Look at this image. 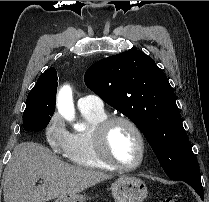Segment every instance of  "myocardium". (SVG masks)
Here are the masks:
<instances>
[{
    "label": "myocardium",
    "mask_w": 209,
    "mask_h": 202,
    "mask_svg": "<svg viewBox=\"0 0 209 202\" xmlns=\"http://www.w3.org/2000/svg\"><path fill=\"white\" fill-rule=\"evenodd\" d=\"M117 123H124L130 126L136 133L140 142V156L139 160L134 165H124L114 160L108 149V135L111 128ZM93 143L95 151L100 160L109 168L119 171H135L139 169L146 158L147 141L142 129L139 125L129 117L123 115H114L107 117L101 121L93 131Z\"/></svg>",
    "instance_id": "myocardium-1"
}]
</instances>
